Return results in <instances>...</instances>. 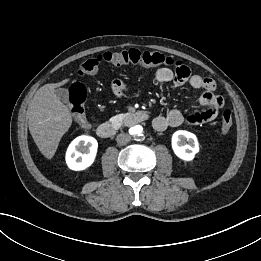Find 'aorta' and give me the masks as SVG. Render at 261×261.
I'll list each match as a JSON object with an SVG mask.
<instances>
[{"instance_id": "762f6f07", "label": "aorta", "mask_w": 261, "mask_h": 261, "mask_svg": "<svg viewBox=\"0 0 261 261\" xmlns=\"http://www.w3.org/2000/svg\"><path fill=\"white\" fill-rule=\"evenodd\" d=\"M130 132L134 137L139 138L142 136L143 128L140 125H136L130 129Z\"/></svg>"}]
</instances>
